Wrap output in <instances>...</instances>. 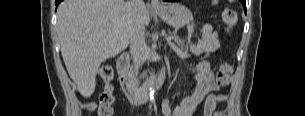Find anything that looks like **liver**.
<instances>
[{
  "label": "liver",
  "instance_id": "1",
  "mask_svg": "<svg viewBox=\"0 0 305 116\" xmlns=\"http://www.w3.org/2000/svg\"><path fill=\"white\" fill-rule=\"evenodd\" d=\"M139 18L144 30L150 21L146 6ZM133 19L130 1L125 0H64L58 6L61 54L83 97L93 94L101 63L128 46Z\"/></svg>",
  "mask_w": 305,
  "mask_h": 116
}]
</instances>
